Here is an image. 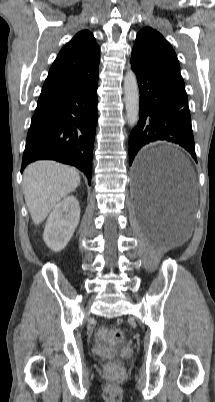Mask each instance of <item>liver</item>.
Listing matches in <instances>:
<instances>
[{"label": "liver", "instance_id": "liver-1", "mask_svg": "<svg viewBox=\"0 0 215 402\" xmlns=\"http://www.w3.org/2000/svg\"><path fill=\"white\" fill-rule=\"evenodd\" d=\"M80 184L78 171L54 161H37L23 173L24 197L34 224L42 223L49 212Z\"/></svg>", "mask_w": 215, "mask_h": 402}]
</instances>
